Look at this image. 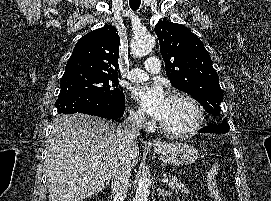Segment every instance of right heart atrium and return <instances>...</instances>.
Returning <instances> with one entry per match:
<instances>
[{
    "label": "right heart atrium",
    "mask_w": 271,
    "mask_h": 201,
    "mask_svg": "<svg viewBox=\"0 0 271 201\" xmlns=\"http://www.w3.org/2000/svg\"><path fill=\"white\" fill-rule=\"evenodd\" d=\"M130 120L137 125H144L146 123L145 115L139 109L130 111Z\"/></svg>",
    "instance_id": "1"
}]
</instances>
